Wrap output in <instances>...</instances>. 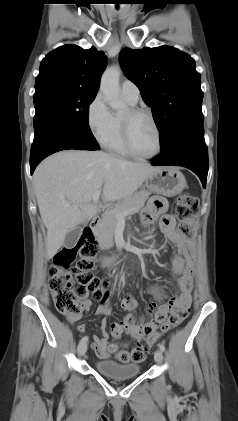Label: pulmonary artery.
<instances>
[{
  "label": "pulmonary artery",
  "mask_w": 238,
  "mask_h": 421,
  "mask_svg": "<svg viewBox=\"0 0 238 421\" xmlns=\"http://www.w3.org/2000/svg\"><path fill=\"white\" fill-rule=\"evenodd\" d=\"M120 91L123 98L129 103L136 104L138 102L140 92L138 87L132 81H123L121 83Z\"/></svg>",
  "instance_id": "pulmonary-artery-1"
}]
</instances>
